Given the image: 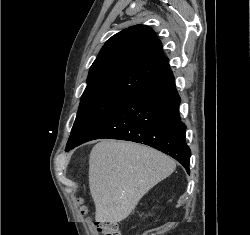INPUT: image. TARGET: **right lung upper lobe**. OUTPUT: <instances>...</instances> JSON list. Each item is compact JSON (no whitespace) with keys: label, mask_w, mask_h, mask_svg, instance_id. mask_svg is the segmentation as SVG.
Wrapping results in <instances>:
<instances>
[{"label":"right lung upper lobe","mask_w":250,"mask_h":235,"mask_svg":"<svg viewBox=\"0 0 250 235\" xmlns=\"http://www.w3.org/2000/svg\"><path fill=\"white\" fill-rule=\"evenodd\" d=\"M169 68L162 43L153 29L136 25L112 36L92 64L81 97L133 95Z\"/></svg>","instance_id":"cb5924a9"}]
</instances>
